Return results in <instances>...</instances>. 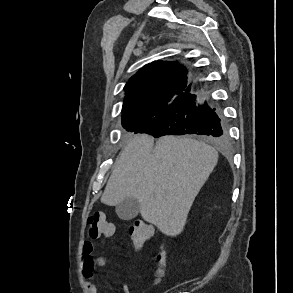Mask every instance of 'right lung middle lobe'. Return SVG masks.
I'll return each instance as SVG.
<instances>
[{
    "label": "right lung middle lobe",
    "instance_id": "1",
    "mask_svg": "<svg viewBox=\"0 0 293 293\" xmlns=\"http://www.w3.org/2000/svg\"><path fill=\"white\" fill-rule=\"evenodd\" d=\"M154 116V112L149 108H140L139 110L123 113L122 125L127 131L134 132Z\"/></svg>",
    "mask_w": 293,
    "mask_h": 293
}]
</instances>
